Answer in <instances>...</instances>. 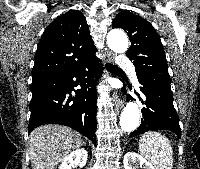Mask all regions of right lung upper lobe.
<instances>
[{
  "label": "right lung upper lobe",
  "instance_id": "right-lung-upper-lobe-1",
  "mask_svg": "<svg viewBox=\"0 0 200 169\" xmlns=\"http://www.w3.org/2000/svg\"><path fill=\"white\" fill-rule=\"evenodd\" d=\"M96 47L83 14L69 10L44 31L32 69V82L68 73L95 56Z\"/></svg>",
  "mask_w": 200,
  "mask_h": 169
}]
</instances>
